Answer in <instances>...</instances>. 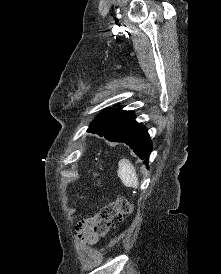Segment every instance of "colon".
I'll list each match as a JSON object with an SVG mask.
<instances>
[{"label": "colon", "mask_w": 221, "mask_h": 274, "mask_svg": "<svg viewBox=\"0 0 221 274\" xmlns=\"http://www.w3.org/2000/svg\"><path fill=\"white\" fill-rule=\"evenodd\" d=\"M133 210L132 203L123 197L117 198L114 202L104 206L100 211L97 231L100 236L105 237L116 219H122Z\"/></svg>", "instance_id": "colon-1"}]
</instances>
